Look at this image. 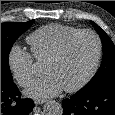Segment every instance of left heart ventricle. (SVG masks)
I'll use <instances>...</instances> for the list:
<instances>
[{"label": "left heart ventricle", "mask_w": 115, "mask_h": 115, "mask_svg": "<svg viewBox=\"0 0 115 115\" xmlns=\"http://www.w3.org/2000/svg\"><path fill=\"white\" fill-rule=\"evenodd\" d=\"M97 54V44L90 35L75 39L63 57L52 63H46V74L55 76L64 88L71 87L83 80L90 72Z\"/></svg>", "instance_id": "left-heart-ventricle-1"}]
</instances>
